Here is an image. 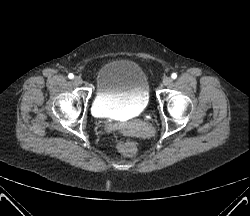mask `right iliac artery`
Masks as SVG:
<instances>
[{
  "instance_id": "82829eb1",
  "label": "right iliac artery",
  "mask_w": 250,
  "mask_h": 216,
  "mask_svg": "<svg viewBox=\"0 0 250 216\" xmlns=\"http://www.w3.org/2000/svg\"><path fill=\"white\" fill-rule=\"evenodd\" d=\"M68 77H69V79H73V78H74V75H73L72 73H70V74L68 75Z\"/></svg>"
}]
</instances>
